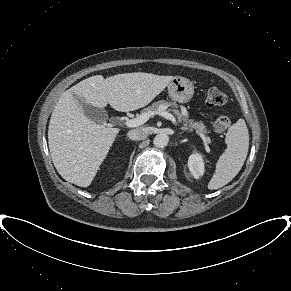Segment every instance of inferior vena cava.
<instances>
[{
  "mask_svg": "<svg viewBox=\"0 0 291 291\" xmlns=\"http://www.w3.org/2000/svg\"><path fill=\"white\" fill-rule=\"evenodd\" d=\"M127 136L131 140H143L148 136V131L146 128H137L130 130Z\"/></svg>",
  "mask_w": 291,
  "mask_h": 291,
  "instance_id": "obj_1",
  "label": "inferior vena cava"
}]
</instances>
